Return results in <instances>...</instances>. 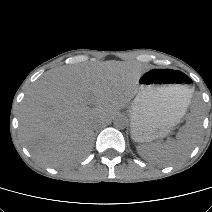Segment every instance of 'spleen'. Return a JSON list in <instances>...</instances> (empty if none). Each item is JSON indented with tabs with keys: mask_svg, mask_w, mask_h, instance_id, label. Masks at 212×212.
Listing matches in <instances>:
<instances>
[{
	"mask_svg": "<svg viewBox=\"0 0 212 212\" xmlns=\"http://www.w3.org/2000/svg\"><path fill=\"white\" fill-rule=\"evenodd\" d=\"M200 125L187 121L176 140L155 142L137 147L138 153L147 161L161 165H172L185 159L195 147Z\"/></svg>",
	"mask_w": 212,
	"mask_h": 212,
	"instance_id": "1",
	"label": "spleen"
}]
</instances>
